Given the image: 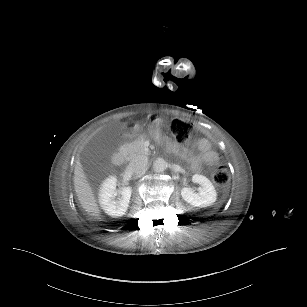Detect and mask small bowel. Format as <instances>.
<instances>
[{"instance_id": "obj_1", "label": "small bowel", "mask_w": 307, "mask_h": 307, "mask_svg": "<svg viewBox=\"0 0 307 307\" xmlns=\"http://www.w3.org/2000/svg\"><path fill=\"white\" fill-rule=\"evenodd\" d=\"M185 153L191 162L192 170L197 173L201 171L203 164L212 165L219 159L218 154L212 150L210 141L206 138L199 139L193 148L187 149Z\"/></svg>"}]
</instances>
